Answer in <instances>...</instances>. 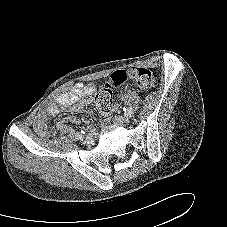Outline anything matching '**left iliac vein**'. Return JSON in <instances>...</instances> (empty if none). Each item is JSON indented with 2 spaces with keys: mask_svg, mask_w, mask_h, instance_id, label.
I'll use <instances>...</instances> for the list:
<instances>
[{
  "mask_svg": "<svg viewBox=\"0 0 227 227\" xmlns=\"http://www.w3.org/2000/svg\"><path fill=\"white\" fill-rule=\"evenodd\" d=\"M131 116H117L115 117V122L120 125H126L130 122Z\"/></svg>",
  "mask_w": 227,
  "mask_h": 227,
  "instance_id": "1",
  "label": "left iliac vein"
}]
</instances>
